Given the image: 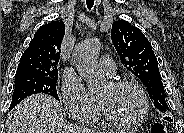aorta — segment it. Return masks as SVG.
Listing matches in <instances>:
<instances>
[{
	"mask_svg": "<svg viewBox=\"0 0 184 133\" xmlns=\"http://www.w3.org/2000/svg\"><path fill=\"white\" fill-rule=\"evenodd\" d=\"M100 47L98 38H90L77 44L74 49L76 69L92 92L99 90L106 81L97 69Z\"/></svg>",
	"mask_w": 184,
	"mask_h": 133,
	"instance_id": "obj_1",
	"label": "aorta"
}]
</instances>
